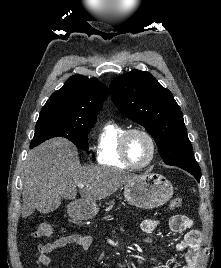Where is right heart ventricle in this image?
Instances as JSON below:
<instances>
[{
    "mask_svg": "<svg viewBox=\"0 0 221 268\" xmlns=\"http://www.w3.org/2000/svg\"><path fill=\"white\" fill-rule=\"evenodd\" d=\"M125 131L126 127L114 121H108L102 126L95 147L99 164L120 169L128 168L119 152L120 138Z\"/></svg>",
    "mask_w": 221,
    "mask_h": 268,
    "instance_id": "right-heart-ventricle-1",
    "label": "right heart ventricle"
}]
</instances>
